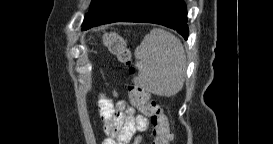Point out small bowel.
I'll list each match as a JSON object with an SVG mask.
<instances>
[{
	"label": "small bowel",
	"mask_w": 273,
	"mask_h": 144,
	"mask_svg": "<svg viewBox=\"0 0 273 144\" xmlns=\"http://www.w3.org/2000/svg\"><path fill=\"white\" fill-rule=\"evenodd\" d=\"M117 95V93H115ZM99 115L104 125L108 144H128L134 139L140 143V133L148 129V119L137 114L135 108L127 101L120 100L114 104L109 98L101 95L98 99Z\"/></svg>",
	"instance_id": "small-bowel-1"
}]
</instances>
